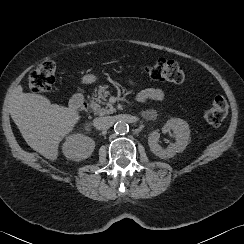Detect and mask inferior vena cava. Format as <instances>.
I'll list each match as a JSON object with an SVG mask.
<instances>
[{
	"label": "inferior vena cava",
	"instance_id": "1",
	"mask_svg": "<svg viewBox=\"0 0 244 244\" xmlns=\"http://www.w3.org/2000/svg\"><path fill=\"white\" fill-rule=\"evenodd\" d=\"M93 124L99 130H106L114 124V121L113 118L110 116L97 117L93 120Z\"/></svg>",
	"mask_w": 244,
	"mask_h": 244
}]
</instances>
